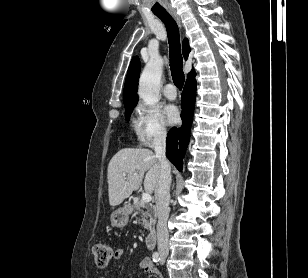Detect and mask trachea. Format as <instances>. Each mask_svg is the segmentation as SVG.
Here are the masks:
<instances>
[{
    "mask_svg": "<svg viewBox=\"0 0 308 278\" xmlns=\"http://www.w3.org/2000/svg\"><path fill=\"white\" fill-rule=\"evenodd\" d=\"M155 15L165 24L168 34L170 70L173 82L179 89H182L185 77L182 69L183 59L178 26L167 11L155 13Z\"/></svg>",
    "mask_w": 308,
    "mask_h": 278,
    "instance_id": "trachea-1",
    "label": "trachea"
}]
</instances>
